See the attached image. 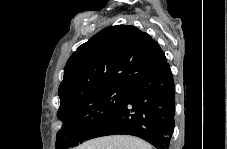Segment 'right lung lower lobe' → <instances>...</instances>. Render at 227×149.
<instances>
[{"mask_svg":"<svg viewBox=\"0 0 227 149\" xmlns=\"http://www.w3.org/2000/svg\"><path fill=\"white\" fill-rule=\"evenodd\" d=\"M175 91L168 63L128 87L123 105L96 127L86 140L126 134L157 149H169L174 131Z\"/></svg>","mask_w":227,"mask_h":149,"instance_id":"obj_1","label":"right lung lower lobe"}]
</instances>
